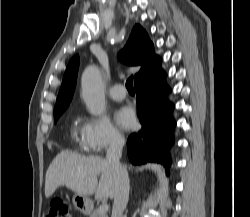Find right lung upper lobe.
Masks as SVG:
<instances>
[{
    "label": "right lung upper lobe",
    "instance_id": "cb5924a9",
    "mask_svg": "<svg viewBox=\"0 0 250 217\" xmlns=\"http://www.w3.org/2000/svg\"><path fill=\"white\" fill-rule=\"evenodd\" d=\"M119 56L123 62L129 65H141V70L135 75V80L148 71L160 59L155 55L153 44L146 31L140 25H135L125 48L120 52ZM78 65L79 57L76 55L70 60L66 68L54 107V113L64 112L69 106L76 85Z\"/></svg>",
    "mask_w": 250,
    "mask_h": 217
}]
</instances>
